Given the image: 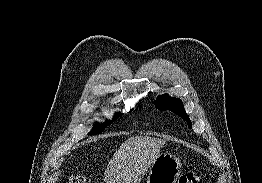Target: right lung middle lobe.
I'll list each match as a JSON object with an SVG mask.
<instances>
[{"mask_svg":"<svg viewBox=\"0 0 262 183\" xmlns=\"http://www.w3.org/2000/svg\"><path fill=\"white\" fill-rule=\"evenodd\" d=\"M121 114L120 113H117L116 116L113 118L112 121H107L103 124H99L97 126H95L91 132H89V134H99L101 133L108 125H110L113 121H115L118 117H120Z\"/></svg>","mask_w":262,"mask_h":183,"instance_id":"dd1d6c3e","label":"right lung middle lobe"}]
</instances>
